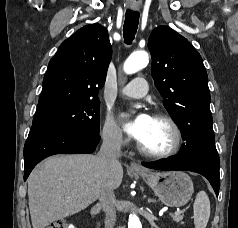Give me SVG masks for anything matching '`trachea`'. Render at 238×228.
I'll use <instances>...</instances> for the list:
<instances>
[{"instance_id":"1","label":"trachea","mask_w":238,"mask_h":228,"mask_svg":"<svg viewBox=\"0 0 238 228\" xmlns=\"http://www.w3.org/2000/svg\"><path fill=\"white\" fill-rule=\"evenodd\" d=\"M139 23V13L132 10L126 11L123 28V36L126 44H131L134 40Z\"/></svg>"}]
</instances>
